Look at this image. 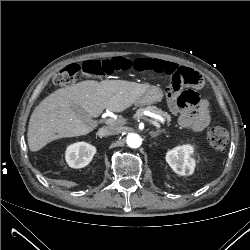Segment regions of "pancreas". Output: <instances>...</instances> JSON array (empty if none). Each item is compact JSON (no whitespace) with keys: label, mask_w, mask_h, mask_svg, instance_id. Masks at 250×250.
<instances>
[{"label":"pancreas","mask_w":250,"mask_h":250,"mask_svg":"<svg viewBox=\"0 0 250 250\" xmlns=\"http://www.w3.org/2000/svg\"><path fill=\"white\" fill-rule=\"evenodd\" d=\"M143 111H149L152 113H155L159 116H161L168 124V126L171 125V116L165 111H162L161 109L157 108L156 106H147L146 108H140L137 110L135 114V118H141L143 116ZM122 121H116V124H122Z\"/></svg>","instance_id":"cf45deb5"}]
</instances>
